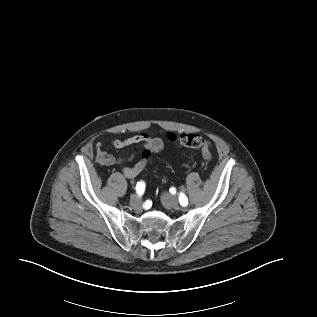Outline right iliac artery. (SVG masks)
<instances>
[{"label": "right iliac artery", "instance_id": "right-iliac-artery-1", "mask_svg": "<svg viewBox=\"0 0 317 317\" xmlns=\"http://www.w3.org/2000/svg\"><path fill=\"white\" fill-rule=\"evenodd\" d=\"M145 191V183L143 181H140L136 184V192L139 195H142Z\"/></svg>", "mask_w": 317, "mask_h": 317}]
</instances>
